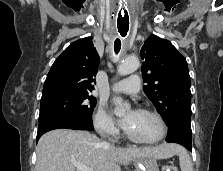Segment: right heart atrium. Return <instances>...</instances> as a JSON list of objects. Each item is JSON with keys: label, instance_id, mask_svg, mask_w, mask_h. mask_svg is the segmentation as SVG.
<instances>
[{"label": "right heart atrium", "instance_id": "1", "mask_svg": "<svg viewBox=\"0 0 223 171\" xmlns=\"http://www.w3.org/2000/svg\"><path fill=\"white\" fill-rule=\"evenodd\" d=\"M93 122L97 132L104 136L114 138L119 133L114 119L103 106L96 110Z\"/></svg>", "mask_w": 223, "mask_h": 171}]
</instances>
